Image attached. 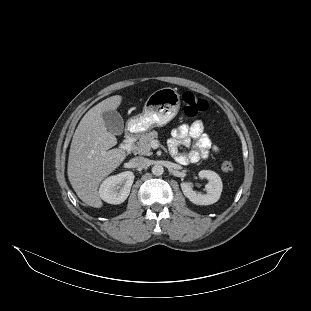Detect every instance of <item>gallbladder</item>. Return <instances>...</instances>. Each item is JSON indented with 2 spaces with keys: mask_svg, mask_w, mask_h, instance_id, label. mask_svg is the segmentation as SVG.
<instances>
[{
  "mask_svg": "<svg viewBox=\"0 0 311 311\" xmlns=\"http://www.w3.org/2000/svg\"><path fill=\"white\" fill-rule=\"evenodd\" d=\"M106 128L114 135H122L124 130V120L116 110L105 111L102 114Z\"/></svg>",
  "mask_w": 311,
  "mask_h": 311,
  "instance_id": "gallbladder-1",
  "label": "gallbladder"
}]
</instances>
